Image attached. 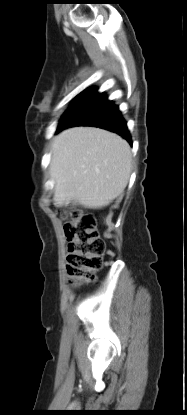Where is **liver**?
Segmentation results:
<instances>
[{"mask_svg":"<svg viewBox=\"0 0 187 415\" xmlns=\"http://www.w3.org/2000/svg\"><path fill=\"white\" fill-rule=\"evenodd\" d=\"M50 177L54 204L71 202L85 208L108 206L128 184L132 154L120 136L94 127H75L54 139Z\"/></svg>","mask_w":187,"mask_h":415,"instance_id":"obj_1","label":"liver"}]
</instances>
